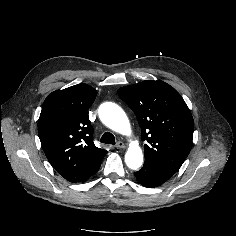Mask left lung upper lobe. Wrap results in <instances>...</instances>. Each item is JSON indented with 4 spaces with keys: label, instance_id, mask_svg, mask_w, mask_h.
I'll use <instances>...</instances> for the list:
<instances>
[{
    "label": "left lung upper lobe",
    "instance_id": "1",
    "mask_svg": "<svg viewBox=\"0 0 236 236\" xmlns=\"http://www.w3.org/2000/svg\"><path fill=\"white\" fill-rule=\"evenodd\" d=\"M141 127L145 160L175 174L191 148L194 121L181 95L169 84L147 80L118 90Z\"/></svg>",
    "mask_w": 236,
    "mask_h": 236
}]
</instances>
